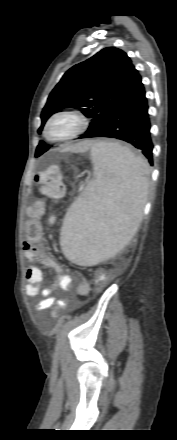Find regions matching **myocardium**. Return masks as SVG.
<instances>
[{"instance_id": "f54148a6", "label": "myocardium", "mask_w": 177, "mask_h": 440, "mask_svg": "<svg viewBox=\"0 0 177 440\" xmlns=\"http://www.w3.org/2000/svg\"><path fill=\"white\" fill-rule=\"evenodd\" d=\"M59 118H67L74 122V126L63 135L52 136L50 128ZM88 119L80 112L74 110H60L53 113L43 127V136L50 142H65L80 137L88 128Z\"/></svg>"}]
</instances>
